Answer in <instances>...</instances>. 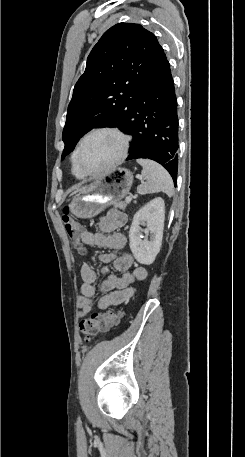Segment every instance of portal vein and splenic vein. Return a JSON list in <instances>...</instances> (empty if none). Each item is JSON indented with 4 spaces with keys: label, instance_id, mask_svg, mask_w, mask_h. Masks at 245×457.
Instances as JSON below:
<instances>
[{
    "label": "portal vein and splenic vein",
    "instance_id": "portal-vein-and-splenic-vein-1",
    "mask_svg": "<svg viewBox=\"0 0 245 457\" xmlns=\"http://www.w3.org/2000/svg\"><path fill=\"white\" fill-rule=\"evenodd\" d=\"M132 196H133V194H129V196H126V198H125L126 202H130V200H132Z\"/></svg>",
    "mask_w": 245,
    "mask_h": 457
}]
</instances>
